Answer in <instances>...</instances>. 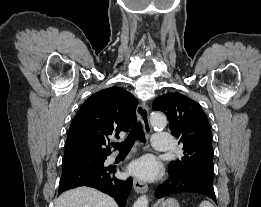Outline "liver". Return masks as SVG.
<instances>
[{"mask_svg":"<svg viewBox=\"0 0 261 207\" xmlns=\"http://www.w3.org/2000/svg\"><path fill=\"white\" fill-rule=\"evenodd\" d=\"M54 205V207H118L113 198L89 187H78L64 192L55 200Z\"/></svg>","mask_w":261,"mask_h":207,"instance_id":"liver-1","label":"liver"}]
</instances>
